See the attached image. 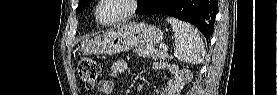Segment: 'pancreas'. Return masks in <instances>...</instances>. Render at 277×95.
I'll use <instances>...</instances> for the list:
<instances>
[{
	"label": "pancreas",
	"mask_w": 277,
	"mask_h": 95,
	"mask_svg": "<svg viewBox=\"0 0 277 95\" xmlns=\"http://www.w3.org/2000/svg\"><path fill=\"white\" fill-rule=\"evenodd\" d=\"M134 52L139 56V57H152L154 60H165L166 58L171 59L172 56L168 55L166 51H161V50H155L154 46L152 45H147L144 47H138L134 50Z\"/></svg>",
	"instance_id": "obj_1"
}]
</instances>
